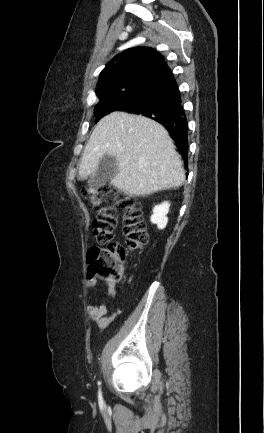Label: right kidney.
Here are the masks:
<instances>
[{"instance_id":"1","label":"right kidney","mask_w":264,"mask_h":433,"mask_svg":"<svg viewBox=\"0 0 264 433\" xmlns=\"http://www.w3.org/2000/svg\"><path fill=\"white\" fill-rule=\"evenodd\" d=\"M169 207V202H163L153 208V214L150 220L153 224H157L158 229H164L166 227L168 223L166 215L168 214Z\"/></svg>"}]
</instances>
